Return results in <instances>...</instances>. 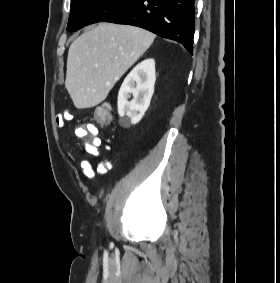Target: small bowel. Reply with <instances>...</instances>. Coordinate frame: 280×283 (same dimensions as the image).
I'll use <instances>...</instances> for the list:
<instances>
[{"mask_svg":"<svg viewBox=\"0 0 280 283\" xmlns=\"http://www.w3.org/2000/svg\"><path fill=\"white\" fill-rule=\"evenodd\" d=\"M71 119H73V114L69 110H65L56 117V125L58 128H63ZM93 133L94 132H87V136H82L83 144L86 153L98 158L99 162L96 167H94L92 162L88 159H82L79 162L83 176L89 180H93L96 177V174L104 175L112 168L111 159L108 156L101 154L100 144H97L98 139L93 137ZM66 152L70 158H74L71 150L66 149Z\"/></svg>","mask_w":280,"mask_h":283,"instance_id":"small-bowel-1","label":"small bowel"}]
</instances>
